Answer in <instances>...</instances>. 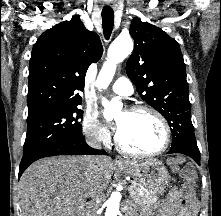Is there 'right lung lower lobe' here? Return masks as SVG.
<instances>
[{"mask_svg": "<svg viewBox=\"0 0 221 216\" xmlns=\"http://www.w3.org/2000/svg\"><path fill=\"white\" fill-rule=\"evenodd\" d=\"M101 155L107 154L104 150H97L87 145L83 135L80 137L63 139L53 142L26 155H23L18 178L26 170V168L34 161L56 155Z\"/></svg>", "mask_w": 221, "mask_h": 216, "instance_id": "obj_1", "label": "right lung lower lobe"}]
</instances>
